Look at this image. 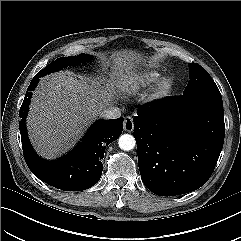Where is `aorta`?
Masks as SVG:
<instances>
[{"label":"aorta","mask_w":241,"mask_h":241,"mask_svg":"<svg viewBox=\"0 0 241 241\" xmlns=\"http://www.w3.org/2000/svg\"><path fill=\"white\" fill-rule=\"evenodd\" d=\"M118 145L120 149L124 151H130L134 149L136 145L135 138L130 134H123L118 139Z\"/></svg>","instance_id":"1"}]
</instances>
